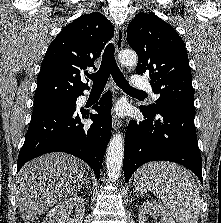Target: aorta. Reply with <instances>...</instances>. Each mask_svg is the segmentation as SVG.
Segmentation results:
<instances>
[{
    "label": "aorta",
    "mask_w": 221,
    "mask_h": 223,
    "mask_svg": "<svg viewBox=\"0 0 221 223\" xmlns=\"http://www.w3.org/2000/svg\"><path fill=\"white\" fill-rule=\"evenodd\" d=\"M119 61L125 66H133L137 63V55L132 50H122L119 53ZM124 138L122 133L114 134L108 144L106 154L107 175L111 182L118 180L123 164Z\"/></svg>",
    "instance_id": "obj_1"
}]
</instances>
